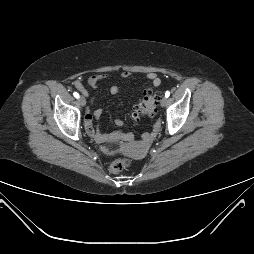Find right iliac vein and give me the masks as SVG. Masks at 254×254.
Instances as JSON below:
<instances>
[{
  "label": "right iliac vein",
  "instance_id": "obj_1",
  "mask_svg": "<svg viewBox=\"0 0 254 254\" xmlns=\"http://www.w3.org/2000/svg\"><path fill=\"white\" fill-rule=\"evenodd\" d=\"M79 103H80V105L81 106H85V104H86V99L83 97V96H81V97H79Z\"/></svg>",
  "mask_w": 254,
  "mask_h": 254
}]
</instances>
